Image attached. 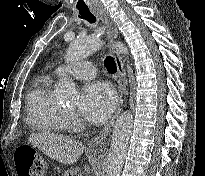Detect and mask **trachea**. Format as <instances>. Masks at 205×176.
Here are the masks:
<instances>
[{
    "label": "trachea",
    "mask_w": 205,
    "mask_h": 176,
    "mask_svg": "<svg viewBox=\"0 0 205 176\" xmlns=\"http://www.w3.org/2000/svg\"><path fill=\"white\" fill-rule=\"evenodd\" d=\"M79 14V18L84 19L91 24L95 23L96 21L95 16L90 12L89 9L79 10ZM104 64L109 72L115 73L117 71L116 64L111 56L105 58Z\"/></svg>",
    "instance_id": "obj_1"
}]
</instances>
